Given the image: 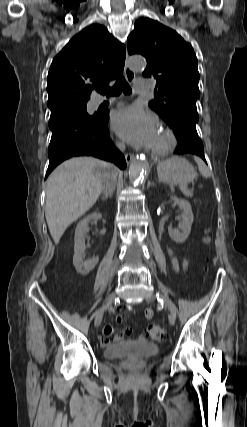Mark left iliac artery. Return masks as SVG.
Returning a JSON list of instances; mask_svg holds the SVG:
<instances>
[{
	"label": "left iliac artery",
	"mask_w": 247,
	"mask_h": 427,
	"mask_svg": "<svg viewBox=\"0 0 247 427\" xmlns=\"http://www.w3.org/2000/svg\"><path fill=\"white\" fill-rule=\"evenodd\" d=\"M156 296H157V298H158L159 301L163 302V300H162L161 296L159 295V293H157ZM165 303L168 305V307L170 308L171 312L176 315V308H175V306L170 301H168V300H165Z\"/></svg>",
	"instance_id": "44dca946"
}]
</instances>
